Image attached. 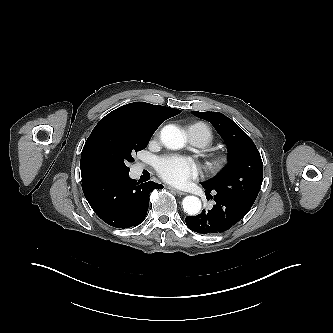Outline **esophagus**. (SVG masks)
Returning <instances> with one entry per match:
<instances>
[{
    "instance_id": "obj_1",
    "label": "esophagus",
    "mask_w": 333,
    "mask_h": 333,
    "mask_svg": "<svg viewBox=\"0 0 333 333\" xmlns=\"http://www.w3.org/2000/svg\"><path fill=\"white\" fill-rule=\"evenodd\" d=\"M168 189L174 191V192L177 193L178 195H186V192L181 191V190H178V189H176V188H174V187H172V186H168Z\"/></svg>"
}]
</instances>
